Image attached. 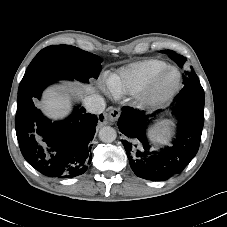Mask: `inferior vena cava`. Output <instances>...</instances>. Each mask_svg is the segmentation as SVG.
Wrapping results in <instances>:
<instances>
[{
    "instance_id": "inferior-vena-cava-1",
    "label": "inferior vena cava",
    "mask_w": 227,
    "mask_h": 227,
    "mask_svg": "<svg viewBox=\"0 0 227 227\" xmlns=\"http://www.w3.org/2000/svg\"><path fill=\"white\" fill-rule=\"evenodd\" d=\"M84 106L89 113L101 114L106 107L105 100L98 94H93L84 99Z\"/></svg>"
}]
</instances>
